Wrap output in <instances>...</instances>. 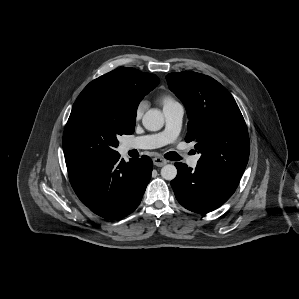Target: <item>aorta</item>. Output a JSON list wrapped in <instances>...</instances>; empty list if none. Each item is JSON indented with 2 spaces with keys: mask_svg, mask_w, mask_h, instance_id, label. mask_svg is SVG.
Returning <instances> with one entry per match:
<instances>
[{
  "mask_svg": "<svg viewBox=\"0 0 299 299\" xmlns=\"http://www.w3.org/2000/svg\"><path fill=\"white\" fill-rule=\"evenodd\" d=\"M143 126L149 131H158L164 125V116L158 109L148 110L142 119ZM161 176L165 180H173L177 175V169L172 164H167L161 169Z\"/></svg>",
  "mask_w": 299,
  "mask_h": 299,
  "instance_id": "762f6f07",
  "label": "aorta"
}]
</instances>
